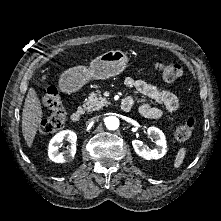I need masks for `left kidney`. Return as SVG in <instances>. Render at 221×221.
Segmentation results:
<instances>
[{
	"instance_id": "obj_1",
	"label": "left kidney",
	"mask_w": 221,
	"mask_h": 221,
	"mask_svg": "<svg viewBox=\"0 0 221 221\" xmlns=\"http://www.w3.org/2000/svg\"><path fill=\"white\" fill-rule=\"evenodd\" d=\"M148 134L151 135L155 139V144L157 148L153 150H147L144 146L143 141L141 140H133L132 145L137 155L140 157L146 159V160H152V159H160L162 158L167 150L166 146V140L164 133L156 128V127H149L148 128Z\"/></svg>"
}]
</instances>
